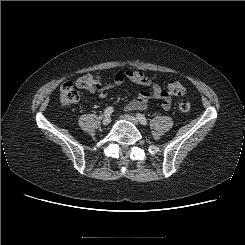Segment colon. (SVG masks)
Here are the masks:
<instances>
[{"label": "colon", "mask_w": 245, "mask_h": 245, "mask_svg": "<svg viewBox=\"0 0 245 245\" xmlns=\"http://www.w3.org/2000/svg\"><path fill=\"white\" fill-rule=\"evenodd\" d=\"M102 80L98 75L87 73L79 77L75 82L64 83L59 90V102L62 106H70L79 99L77 88L87 91H96L102 88ZM166 91L170 96H182L185 93V87L177 80H169L166 84ZM182 112H188L191 104L183 100L179 104Z\"/></svg>", "instance_id": "5ec220e1"}]
</instances>
